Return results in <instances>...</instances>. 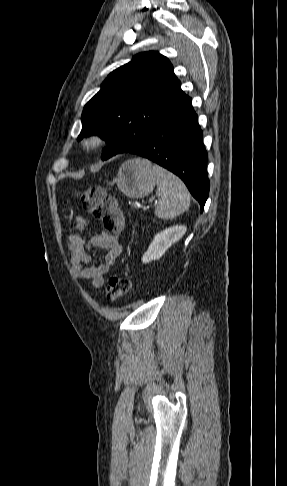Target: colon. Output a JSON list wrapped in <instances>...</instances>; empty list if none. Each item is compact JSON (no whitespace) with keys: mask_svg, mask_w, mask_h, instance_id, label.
Segmentation results:
<instances>
[{"mask_svg":"<svg viewBox=\"0 0 287 486\" xmlns=\"http://www.w3.org/2000/svg\"><path fill=\"white\" fill-rule=\"evenodd\" d=\"M82 206L94 219L100 221L105 232L111 235H120L125 226L124 216L119 209L116 199L110 196L103 187L90 186L77 193ZM129 278L112 276L106 287L108 300H117L124 296L130 289Z\"/></svg>","mask_w":287,"mask_h":486,"instance_id":"5ec220e1","label":"colon"}]
</instances>
